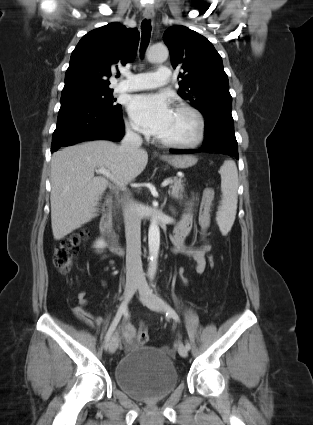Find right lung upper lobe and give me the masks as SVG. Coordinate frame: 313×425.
I'll use <instances>...</instances> for the list:
<instances>
[{
    "label": "right lung upper lobe",
    "instance_id": "right-lung-upper-lobe-1",
    "mask_svg": "<svg viewBox=\"0 0 313 425\" xmlns=\"http://www.w3.org/2000/svg\"><path fill=\"white\" fill-rule=\"evenodd\" d=\"M136 28L113 22L84 35L70 58L62 94L82 89L109 88L108 78L117 64L132 62L137 53Z\"/></svg>",
    "mask_w": 313,
    "mask_h": 425
}]
</instances>
